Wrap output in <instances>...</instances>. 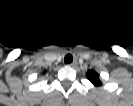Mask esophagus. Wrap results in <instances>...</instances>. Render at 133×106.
<instances>
[{"label": "esophagus", "instance_id": "34e87169", "mask_svg": "<svg viewBox=\"0 0 133 106\" xmlns=\"http://www.w3.org/2000/svg\"><path fill=\"white\" fill-rule=\"evenodd\" d=\"M76 65H77V62H72V63L68 64L67 66H69V67H75Z\"/></svg>", "mask_w": 133, "mask_h": 106}]
</instances>
